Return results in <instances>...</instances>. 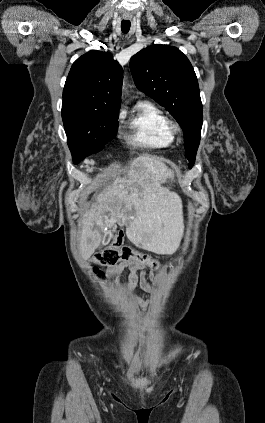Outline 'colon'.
<instances>
[{"label": "colon", "instance_id": "1", "mask_svg": "<svg viewBox=\"0 0 265 423\" xmlns=\"http://www.w3.org/2000/svg\"><path fill=\"white\" fill-rule=\"evenodd\" d=\"M123 238L122 232L116 233L112 244L94 255V262L98 265L109 266L119 261H130L149 267L152 270L159 267V262L149 255L123 245ZM95 272L99 276L101 275L99 270H95Z\"/></svg>", "mask_w": 265, "mask_h": 423}]
</instances>
